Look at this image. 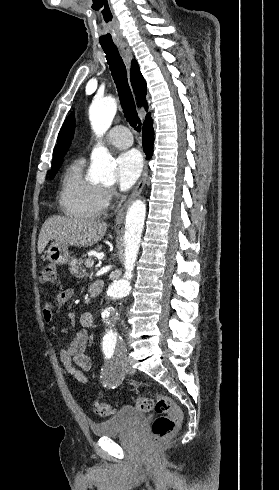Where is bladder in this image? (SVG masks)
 Returning <instances> with one entry per match:
<instances>
[{
    "label": "bladder",
    "mask_w": 279,
    "mask_h": 490,
    "mask_svg": "<svg viewBox=\"0 0 279 490\" xmlns=\"http://www.w3.org/2000/svg\"><path fill=\"white\" fill-rule=\"evenodd\" d=\"M145 417L146 413L136 406L122 405L113 417L90 424L92 436L112 437L120 432H131Z\"/></svg>",
    "instance_id": "obj_1"
}]
</instances>
